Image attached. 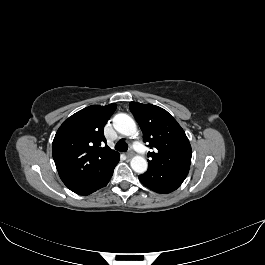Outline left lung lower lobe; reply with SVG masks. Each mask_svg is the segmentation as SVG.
I'll list each match as a JSON object with an SVG mask.
<instances>
[{
    "instance_id": "obj_1",
    "label": "left lung lower lobe",
    "mask_w": 265,
    "mask_h": 265,
    "mask_svg": "<svg viewBox=\"0 0 265 265\" xmlns=\"http://www.w3.org/2000/svg\"><path fill=\"white\" fill-rule=\"evenodd\" d=\"M188 172L147 170L139 175L140 182L157 193H170L176 190L187 177Z\"/></svg>"
}]
</instances>
